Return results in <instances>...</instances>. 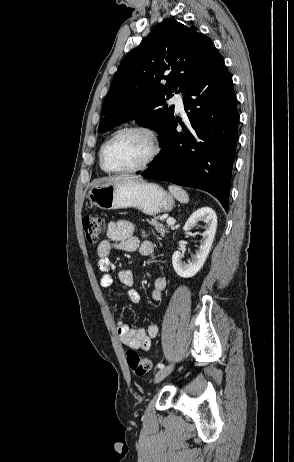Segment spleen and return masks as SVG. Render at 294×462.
<instances>
[{
    "mask_svg": "<svg viewBox=\"0 0 294 462\" xmlns=\"http://www.w3.org/2000/svg\"><path fill=\"white\" fill-rule=\"evenodd\" d=\"M169 192L181 203H187L189 201L188 194L184 189L179 186L170 185L168 187Z\"/></svg>",
    "mask_w": 294,
    "mask_h": 462,
    "instance_id": "1",
    "label": "spleen"
}]
</instances>
